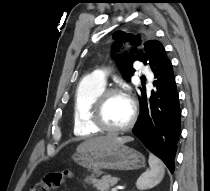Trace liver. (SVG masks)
I'll list each match as a JSON object with an SVG mask.
<instances>
[{"instance_id":"liver-1","label":"liver","mask_w":210,"mask_h":191,"mask_svg":"<svg viewBox=\"0 0 210 191\" xmlns=\"http://www.w3.org/2000/svg\"><path fill=\"white\" fill-rule=\"evenodd\" d=\"M130 141H133L132 137H119L115 134H108L106 136H98L84 141L77 147V150H93L105 148L117 144H124Z\"/></svg>"}]
</instances>
